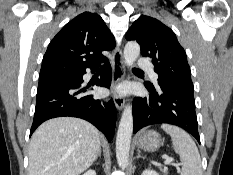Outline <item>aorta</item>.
<instances>
[{
	"instance_id": "aorta-1",
	"label": "aorta",
	"mask_w": 233,
	"mask_h": 175,
	"mask_svg": "<svg viewBox=\"0 0 233 175\" xmlns=\"http://www.w3.org/2000/svg\"><path fill=\"white\" fill-rule=\"evenodd\" d=\"M140 54V46L135 41H130L124 48V59L128 67H132ZM133 133L132 106L127 104L121 116L116 137V158L120 168L128 166L129 150Z\"/></svg>"
}]
</instances>
